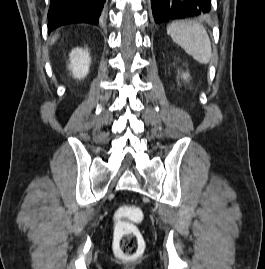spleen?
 Here are the masks:
<instances>
[{
  "label": "spleen",
  "mask_w": 265,
  "mask_h": 269,
  "mask_svg": "<svg viewBox=\"0 0 265 269\" xmlns=\"http://www.w3.org/2000/svg\"><path fill=\"white\" fill-rule=\"evenodd\" d=\"M167 34L199 63L210 62L211 42L206 29L199 23L174 22L167 27Z\"/></svg>",
  "instance_id": "obj_1"
}]
</instances>
